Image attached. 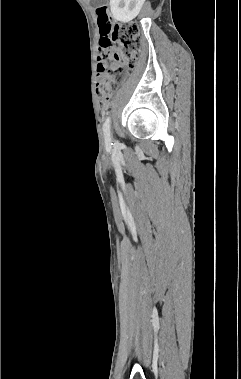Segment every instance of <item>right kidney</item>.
I'll use <instances>...</instances> for the list:
<instances>
[{"label": "right kidney", "mask_w": 241, "mask_h": 379, "mask_svg": "<svg viewBox=\"0 0 241 379\" xmlns=\"http://www.w3.org/2000/svg\"><path fill=\"white\" fill-rule=\"evenodd\" d=\"M145 0H110V11L114 19L127 23L140 12Z\"/></svg>", "instance_id": "ca27d5eb"}]
</instances>
